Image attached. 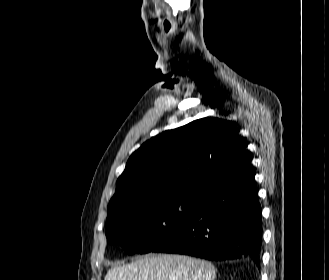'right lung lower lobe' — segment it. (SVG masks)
Wrapping results in <instances>:
<instances>
[{"instance_id": "98d812e1", "label": "right lung lower lobe", "mask_w": 329, "mask_h": 280, "mask_svg": "<svg viewBox=\"0 0 329 280\" xmlns=\"http://www.w3.org/2000/svg\"><path fill=\"white\" fill-rule=\"evenodd\" d=\"M255 174L250 160L217 179L179 230L151 252L248 259L260 267L261 208Z\"/></svg>"}]
</instances>
